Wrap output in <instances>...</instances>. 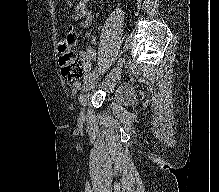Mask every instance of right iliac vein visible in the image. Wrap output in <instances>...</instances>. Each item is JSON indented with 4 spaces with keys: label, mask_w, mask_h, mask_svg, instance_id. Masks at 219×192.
Returning a JSON list of instances; mask_svg holds the SVG:
<instances>
[{
    "label": "right iliac vein",
    "mask_w": 219,
    "mask_h": 192,
    "mask_svg": "<svg viewBox=\"0 0 219 192\" xmlns=\"http://www.w3.org/2000/svg\"><path fill=\"white\" fill-rule=\"evenodd\" d=\"M96 77L95 75H93L90 79H88L85 84L82 87V91L79 97L80 100V116L83 117L84 116V110H85V106L87 105V101L89 98V94H88V89L93 85L94 81H95Z\"/></svg>",
    "instance_id": "right-iliac-vein-1"
}]
</instances>
